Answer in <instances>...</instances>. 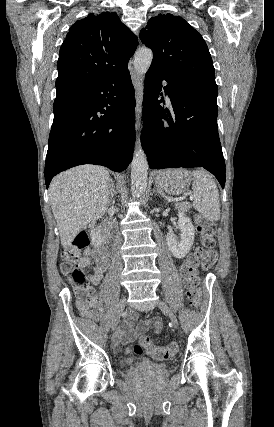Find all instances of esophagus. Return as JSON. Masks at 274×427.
<instances>
[{"mask_svg":"<svg viewBox=\"0 0 274 427\" xmlns=\"http://www.w3.org/2000/svg\"><path fill=\"white\" fill-rule=\"evenodd\" d=\"M131 79L135 89V118L136 126L139 129L141 126V112H142V99H143V78L133 70H131Z\"/></svg>","mask_w":274,"mask_h":427,"instance_id":"obj_1","label":"esophagus"}]
</instances>
